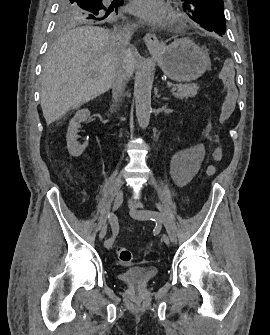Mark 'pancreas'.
I'll use <instances>...</instances> for the list:
<instances>
[{
    "instance_id": "pancreas-1",
    "label": "pancreas",
    "mask_w": 270,
    "mask_h": 335,
    "mask_svg": "<svg viewBox=\"0 0 270 335\" xmlns=\"http://www.w3.org/2000/svg\"><path fill=\"white\" fill-rule=\"evenodd\" d=\"M176 88H178L176 89L177 92L173 96L179 98V100H183V98H195L197 90H199L197 84H178Z\"/></svg>"
}]
</instances>
